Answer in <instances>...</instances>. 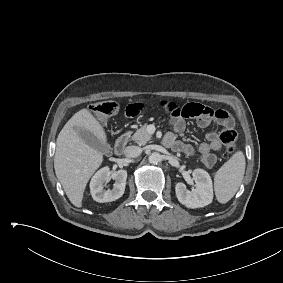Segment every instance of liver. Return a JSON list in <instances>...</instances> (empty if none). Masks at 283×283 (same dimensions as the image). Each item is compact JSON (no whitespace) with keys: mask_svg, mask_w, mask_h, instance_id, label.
<instances>
[{"mask_svg":"<svg viewBox=\"0 0 283 283\" xmlns=\"http://www.w3.org/2000/svg\"><path fill=\"white\" fill-rule=\"evenodd\" d=\"M76 128L93 133L107 143L102 125L88 109L76 112L64 125L56 141L54 157L55 173L70 202L82 206L85 187L103 162V154L89 146Z\"/></svg>","mask_w":283,"mask_h":283,"instance_id":"liver-1","label":"liver"}]
</instances>
